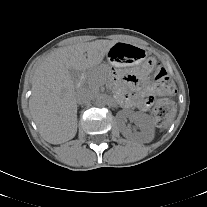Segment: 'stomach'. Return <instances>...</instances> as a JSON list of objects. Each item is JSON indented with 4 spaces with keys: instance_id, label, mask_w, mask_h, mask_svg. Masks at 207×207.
<instances>
[{
    "instance_id": "0dacf381",
    "label": "stomach",
    "mask_w": 207,
    "mask_h": 207,
    "mask_svg": "<svg viewBox=\"0 0 207 207\" xmlns=\"http://www.w3.org/2000/svg\"><path fill=\"white\" fill-rule=\"evenodd\" d=\"M107 57L115 67L137 66L148 60V54L143 48L122 42H116L108 51Z\"/></svg>"
}]
</instances>
